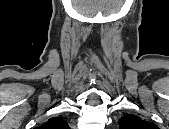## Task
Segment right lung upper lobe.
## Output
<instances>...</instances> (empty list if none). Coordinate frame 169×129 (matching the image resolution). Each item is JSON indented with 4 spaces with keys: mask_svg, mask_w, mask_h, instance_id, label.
Masks as SVG:
<instances>
[{
    "mask_svg": "<svg viewBox=\"0 0 169 129\" xmlns=\"http://www.w3.org/2000/svg\"><path fill=\"white\" fill-rule=\"evenodd\" d=\"M42 129H67V122L63 121V119L53 117L48 120V122L44 123L41 126Z\"/></svg>",
    "mask_w": 169,
    "mask_h": 129,
    "instance_id": "obj_1",
    "label": "right lung upper lobe"
}]
</instances>
